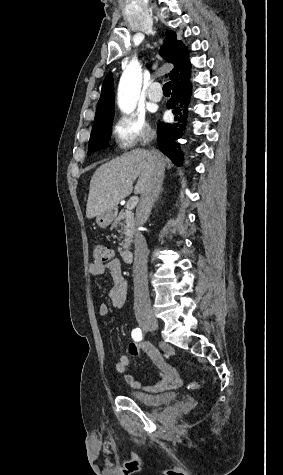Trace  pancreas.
<instances>
[{"mask_svg":"<svg viewBox=\"0 0 283 475\" xmlns=\"http://www.w3.org/2000/svg\"><path fill=\"white\" fill-rule=\"evenodd\" d=\"M112 228H120V232H122L123 239L120 243L122 247H118V251H120L121 255H125V253H128L132 239L135 236L133 214H131V212H125V210H122L118 218L114 220Z\"/></svg>","mask_w":283,"mask_h":475,"instance_id":"cf45deb5","label":"pancreas"}]
</instances>
